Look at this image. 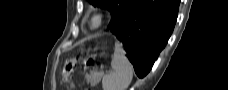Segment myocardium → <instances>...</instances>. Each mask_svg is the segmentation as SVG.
I'll return each mask as SVG.
<instances>
[{
    "mask_svg": "<svg viewBox=\"0 0 228 90\" xmlns=\"http://www.w3.org/2000/svg\"><path fill=\"white\" fill-rule=\"evenodd\" d=\"M104 22V15L102 12L98 11L93 13V15L91 16V19L89 21V26L91 29H98L102 26Z\"/></svg>",
    "mask_w": 228,
    "mask_h": 90,
    "instance_id": "obj_1",
    "label": "myocardium"
}]
</instances>
